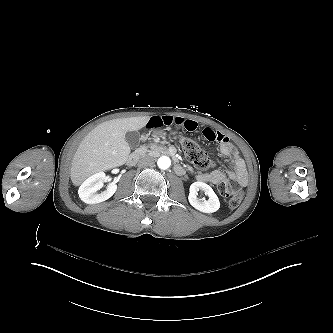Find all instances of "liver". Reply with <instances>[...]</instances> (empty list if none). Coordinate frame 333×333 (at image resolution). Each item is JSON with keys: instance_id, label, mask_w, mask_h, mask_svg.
I'll list each match as a JSON object with an SVG mask.
<instances>
[{"instance_id": "6515ba94", "label": "liver", "mask_w": 333, "mask_h": 333, "mask_svg": "<svg viewBox=\"0 0 333 333\" xmlns=\"http://www.w3.org/2000/svg\"><path fill=\"white\" fill-rule=\"evenodd\" d=\"M149 119V116L113 119L96 126L80 143L73 157L72 183L79 186L96 172L125 164L130 154L125 134L143 128Z\"/></svg>"}]
</instances>
